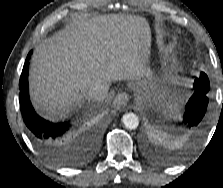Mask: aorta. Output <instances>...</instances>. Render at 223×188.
Segmentation results:
<instances>
[{
	"label": "aorta",
	"instance_id": "aorta-1",
	"mask_svg": "<svg viewBox=\"0 0 223 188\" xmlns=\"http://www.w3.org/2000/svg\"><path fill=\"white\" fill-rule=\"evenodd\" d=\"M122 121L124 126L129 130H134L139 125V119L136 114L134 113H126L122 117Z\"/></svg>",
	"mask_w": 223,
	"mask_h": 188
}]
</instances>
